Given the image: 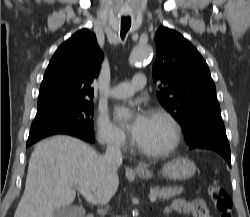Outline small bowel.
Segmentation results:
<instances>
[{"mask_svg":"<svg viewBox=\"0 0 250 217\" xmlns=\"http://www.w3.org/2000/svg\"><path fill=\"white\" fill-rule=\"evenodd\" d=\"M165 212L191 214L194 217H213L208 212L206 202L201 198L194 200H186L182 198L176 199L171 206L165 210Z\"/></svg>","mask_w":250,"mask_h":217,"instance_id":"1","label":"small bowel"}]
</instances>
